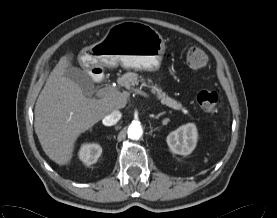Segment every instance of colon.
Listing matches in <instances>:
<instances>
[{"instance_id":"obj_1","label":"colon","mask_w":277,"mask_h":218,"mask_svg":"<svg viewBox=\"0 0 277 218\" xmlns=\"http://www.w3.org/2000/svg\"><path fill=\"white\" fill-rule=\"evenodd\" d=\"M186 63L191 69H200L207 63V55L199 46H191L186 54ZM197 101L203 111L215 115L218 111L219 97L213 90H202Z\"/></svg>"}]
</instances>
